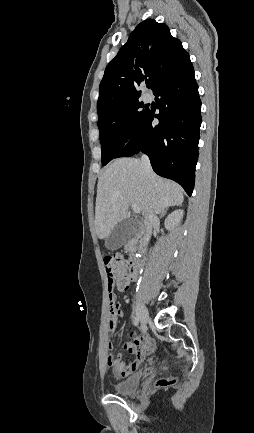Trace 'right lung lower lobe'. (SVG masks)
<instances>
[{"label":"right lung lower lobe","mask_w":254,"mask_h":433,"mask_svg":"<svg viewBox=\"0 0 254 433\" xmlns=\"http://www.w3.org/2000/svg\"><path fill=\"white\" fill-rule=\"evenodd\" d=\"M159 114L150 110L114 158L143 152L158 175L179 183L191 196L201 125V101L190 57L154 93ZM157 118L159 123H153Z\"/></svg>","instance_id":"98d812e1"}]
</instances>
